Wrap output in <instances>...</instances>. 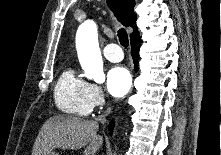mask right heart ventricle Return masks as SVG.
Returning <instances> with one entry per match:
<instances>
[{
    "instance_id": "e07e8e85",
    "label": "right heart ventricle",
    "mask_w": 221,
    "mask_h": 155,
    "mask_svg": "<svg viewBox=\"0 0 221 155\" xmlns=\"http://www.w3.org/2000/svg\"><path fill=\"white\" fill-rule=\"evenodd\" d=\"M88 89L89 83L79 77L73 68L64 69L54 90L57 108L66 114L87 116L93 108Z\"/></svg>"
}]
</instances>
